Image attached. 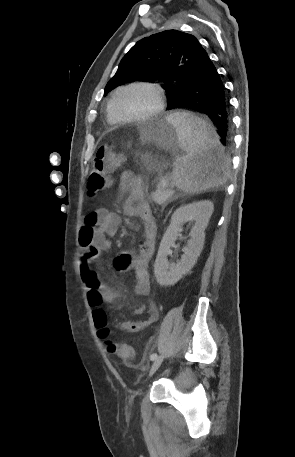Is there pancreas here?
<instances>
[{"label":"pancreas","instance_id":"obj_1","mask_svg":"<svg viewBox=\"0 0 295 457\" xmlns=\"http://www.w3.org/2000/svg\"><path fill=\"white\" fill-rule=\"evenodd\" d=\"M172 195L173 190L169 188L167 180L166 186H162L160 182L158 183L156 191L151 193V199L158 204H164L167 200H173Z\"/></svg>","mask_w":295,"mask_h":457}]
</instances>
